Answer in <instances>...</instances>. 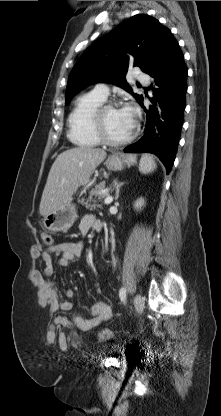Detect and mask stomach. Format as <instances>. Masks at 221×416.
<instances>
[{"instance_id":"0dacf381","label":"stomach","mask_w":221,"mask_h":416,"mask_svg":"<svg viewBox=\"0 0 221 416\" xmlns=\"http://www.w3.org/2000/svg\"><path fill=\"white\" fill-rule=\"evenodd\" d=\"M134 163H136L135 155L114 154L110 156L104 164L108 170L119 171L125 166H131ZM76 218L77 212L75 205L68 201L62 207L46 215L43 220V225L46 230L53 233L67 232L72 227Z\"/></svg>"}]
</instances>
